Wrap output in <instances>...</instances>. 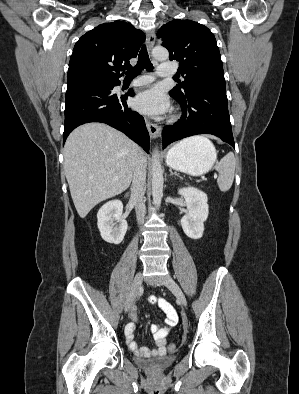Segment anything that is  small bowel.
<instances>
[{
	"label": "small bowel",
	"instance_id": "small-bowel-1",
	"mask_svg": "<svg viewBox=\"0 0 299 394\" xmlns=\"http://www.w3.org/2000/svg\"><path fill=\"white\" fill-rule=\"evenodd\" d=\"M152 304L157 305L165 314V324H151L148 330L152 333L156 347L149 349L140 347L134 340L135 324L138 319L136 308L130 312V323L125 328V337L129 348L139 357H157L166 352V338L171 333L178 322V315L171 303L160 295H153L149 298Z\"/></svg>",
	"mask_w": 299,
	"mask_h": 394
}]
</instances>
